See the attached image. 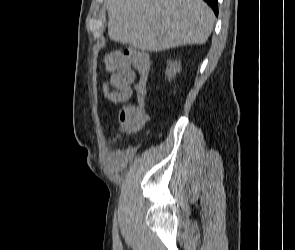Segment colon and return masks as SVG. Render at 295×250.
I'll use <instances>...</instances> for the list:
<instances>
[{
    "mask_svg": "<svg viewBox=\"0 0 295 250\" xmlns=\"http://www.w3.org/2000/svg\"><path fill=\"white\" fill-rule=\"evenodd\" d=\"M132 52H134L132 49L111 51L105 57V64L108 68H113L118 62L127 58ZM134 89L136 96L118 111V122L121 128L127 132L140 130L148 119L144 107V96L146 94L145 80H140L135 85Z\"/></svg>",
    "mask_w": 295,
    "mask_h": 250,
    "instance_id": "5ec220e1",
    "label": "colon"
}]
</instances>
